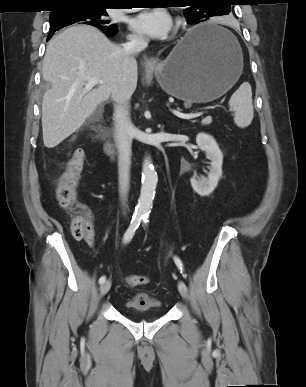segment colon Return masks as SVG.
Returning a JSON list of instances; mask_svg holds the SVG:
<instances>
[{"mask_svg": "<svg viewBox=\"0 0 306 387\" xmlns=\"http://www.w3.org/2000/svg\"><path fill=\"white\" fill-rule=\"evenodd\" d=\"M85 161V154L81 148L74 151L67 162L66 169L56 181L55 193L58 204L70 214V231L74 238H84L89 232L90 225L86 215L77 204V185ZM129 286H141L148 283L144 275L134 274L125 278Z\"/></svg>", "mask_w": 306, "mask_h": 387, "instance_id": "1", "label": "colon"}]
</instances>
